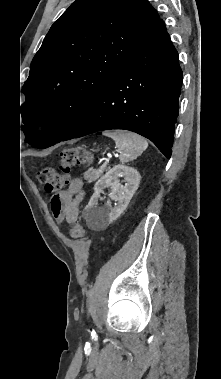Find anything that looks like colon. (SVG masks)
I'll return each mask as SVG.
<instances>
[{
  "label": "colon",
  "mask_w": 221,
  "mask_h": 379,
  "mask_svg": "<svg viewBox=\"0 0 221 379\" xmlns=\"http://www.w3.org/2000/svg\"><path fill=\"white\" fill-rule=\"evenodd\" d=\"M91 161V155L80 147L69 148L60 154L58 171L52 167H46L38 173V180L45 186V190H63L70 183V173L76 164H87ZM73 238L79 239L85 236V229L80 223H76L70 230Z\"/></svg>",
  "instance_id": "obj_1"
}]
</instances>
